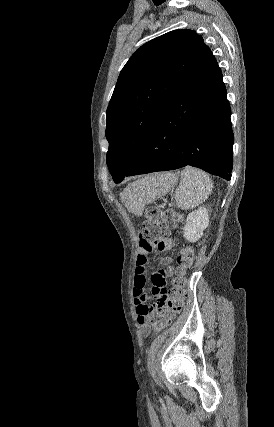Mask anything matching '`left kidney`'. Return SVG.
Returning <instances> with one entry per match:
<instances>
[{
    "instance_id": "5707ae66",
    "label": "left kidney",
    "mask_w": 274,
    "mask_h": 427,
    "mask_svg": "<svg viewBox=\"0 0 274 427\" xmlns=\"http://www.w3.org/2000/svg\"><path fill=\"white\" fill-rule=\"evenodd\" d=\"M209 210L206 208H198L186 217V225L184 227V237L188 241H198L200 239L203 229H206L209 223Z\"/></svg>"
}]
</instances>
